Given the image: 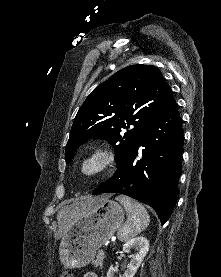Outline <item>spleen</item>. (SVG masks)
<instances>
[{
  "label": "spleen",
  "mask_w": 221,
  "mask_h": 277,
  "mask_svg": "<svg viewBox=\"0 0 221 277\" xmlns=\"http://www.w3.org/2000/svg\"><path fill=\"white\" fill-rule=\"evenodd\" d=\"M116 200L123 205L128 216V220L118 231V238L121 241H127L147 228L150 217L139 202L123 195L117 196Z\"/></svg>",
  "instance_id": "obj_1"
}]
</instances>
